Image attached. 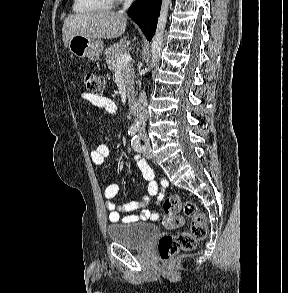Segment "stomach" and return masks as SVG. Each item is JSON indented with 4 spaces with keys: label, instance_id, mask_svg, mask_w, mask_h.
I'll return each instance as SVG.
<instances>
[{
    "label": "stomach",
    "instance_id": "stomach-1",
    "mask_svg": "<svg viewBox=\"0 0 288 293\" xmlns=\"http://www.w3.org/2000/svg\"><path fill=\"white\" fill-rule=\"evenodd\" d=\"M100 39H91L83 35H74L68 42L69 52L78 58H88L91 61L100 59L103 51Z\"/></svg>",
    "mask_w": 288,
    "mask_h": 293
}]
</instances>
